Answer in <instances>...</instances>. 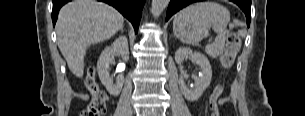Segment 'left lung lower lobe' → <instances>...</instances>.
Returning a JSON list of instances; mask_svg holds the SVG:
<instances>
[{
	"label": "left lung lower lobe",
	"mask_w": 305,
	"mask_h": 116,
	"mask_svg": "<svg viewBox=\"0 0 305 116\" xmlns=\"http://www.w3.org/2000/svg\"><path fill=\"white\" fill-rule=\"evenodd\" d=\"M200 0H171L166 15V21L180 9L186 7L187 5L198 2ZM245 13L247 18V25L250 24L251 14H250V7H251V0H233Z\"/></svg>",
	"instance_id": "0a47b994"
}]
</instances>
